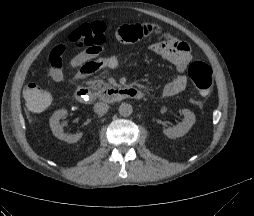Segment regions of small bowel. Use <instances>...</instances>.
<instances>
[{"label":"small bowel","mask_w":254,"mask_h":216,"mask_svg":"<svg viewBox=\"0 0 254 216\" xmlns=\"http://www.w3.org/2000/svg\"><path fill=\"white\" fill-rule=\"evenodd\" d=\"M160 31V27L153 22L121 24L116 29L115 38L119 43L126 44L148 38ZM148 48L168 59L178 72V75L164 86L162 94L170 97L183 92L187 87V78L184 72L192 57L190 46L170 33H162L158 36L157 42H149ZM62 54L63 48L56 46L49 57V74L55 83L64 81ZM120 59L119 54L99 56L97 49L86 48L70 61V68L74 71L73 82L79 83L104 68L115 69L118 67Z\"/></svg>","instance_id":"obj_1"}]
</instances>
